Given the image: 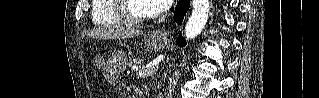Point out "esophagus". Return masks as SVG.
Here are the masks:
<instances>
[{"label":"esophagus","instance_id":"esophagus-1","mask_svg":"<svg viewBox=\"0 0 319 98\" xmlns=\"http://www.w3.org/2000/svg\"><path fill=\"white\" fill-rule=\"evenodd\" d=\"M153 36L167 40L171 36V32L165 29H159L153 33Z\"/></svg>","mask_w":319,"mask_h":98}]
</instances>
